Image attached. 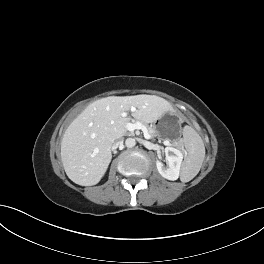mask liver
Returning a JSON list of instances; mask_svg holds the SVG:
<instances>
[{"instance_id":"obj_1","label":"liver","mask_w":264,"mask_h":264,"mask_svg":"<svg viewBox=\"0 0 264 264\" xmlns=\"http://www.w3.org/2000/svg\"><path fill=\"white\" fill-rule=\"evenodd\" d=\"M135 108L133 117L143 123L160 119L172 107L155 95L111 96L95 101L68 126L61 142L64 170L74 183H99L112 159L111 147L127 132L123 112Z\"/></svg>"}]
</instances>
